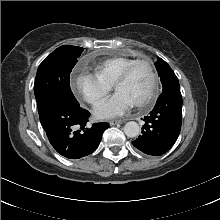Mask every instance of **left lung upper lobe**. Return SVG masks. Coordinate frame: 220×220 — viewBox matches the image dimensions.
<instances>
[{"label": "left lung upper lobe", "instance_id": "obj_1", "mask_svg": "<svg viewBox=\"0 0 220 220\" xmlns=\"http://www.w3.org/2000/svg\"><path fill=\"white\" fill-rule=\"evenodd\" d=\"M155 65L163 84V91L180 88L178 78L170 66L163 59L158 58Z\"/></svg>", "mask_w": 220, "mask_h": 220}]
</instances>
